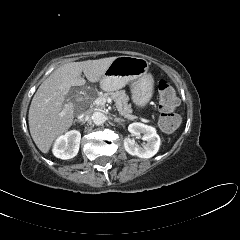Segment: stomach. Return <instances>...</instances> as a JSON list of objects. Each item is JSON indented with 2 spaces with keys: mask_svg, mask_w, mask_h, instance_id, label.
<instances>
[{
  "mask_svg": "<svg viewBox=\"0 0 240 240\" xmlns=\"http://www.w3.org/2000/svg\"><path fill=\"white\" fill-rule=\"evenodd\" d=\"M149 63L145 58L119 56L111 63L100 80L104 91H115L131 84L132 100L138 107H144L153 94L154 80L148 73Z\"/></svg>",
  "mask_w": 240,
  "mask_h": 240,
  "instance_id": "1",
  "label": "stomach"
}]
</instances>
